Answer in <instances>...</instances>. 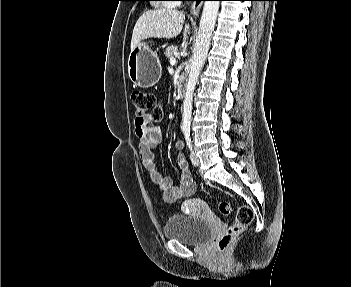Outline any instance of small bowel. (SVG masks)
<instances>
[{
	"label": "small bowel",
	"mask_w": 351,
	"mask_h": 287,
	"mask_svg": "<svg viewBox=\"0 0 351 287\" xmlns=\"http://www.w3.org/2000/svg\"><path fill=\"white\" fill-rule=\"evenodd\" d=\"M152 117L148 116L143 122L135 120V134L139 139V156L151 180L163 194L164 201L173 203L179 199L191 196L196 190V184L191 176V169L182 154L184 143L177 141V165L180 168V184L174 186L172 180L159 169L153 150L161 143L162 134L157 126L150 125Z\"/></svg>",
	"instance_id": "small-bowel-1"
}]
</instances>
